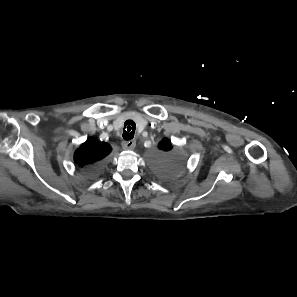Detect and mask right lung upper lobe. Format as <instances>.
<instances>
[{
	"label": "right lung upper lobe",
	"instance_id": "right-lung-upper-lobe-1",
	"mask_svg": "<svg viewBox=\"0 0 297 297\" xmlns=\"http://www.w3.org/2000/svg\"><path fill=\"white\" fill-rule=\"evenodd\" d=\"M110 152L111 146L108 143L90 138L76 150L74 161L80 167L90 168L102 163V159Z\"/></svg>",
	"mask_w": 297,
	"mask_h": 297
}]
</instances>
